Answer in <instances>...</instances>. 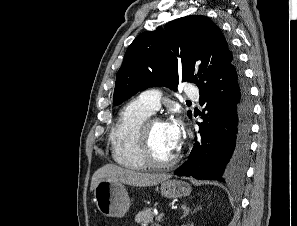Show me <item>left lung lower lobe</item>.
<instances>
[{"instance_id": "obj_1", "label": "left lung lower lobe", "mask_w": 297, "mask_h": 226, "mask_svg": "<svg viewBox=\"0 0 297 226\" xmlns=\"http://www.w3.org/2000/svg\"><path fill=\"white\" fill-rule=\"evenodd\" d=\"M200 105H205L203 122L189 159L176 175L241 183L249 155L253 107L243 73L227 81L205 84Z\"/></svg>"}]
</instances>
